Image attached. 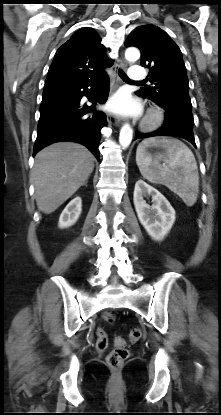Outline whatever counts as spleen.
Masks as SVG:
<instances>
[{
    "mask_svg": "<svg viewBox=\"0 0 221 415\" xmlns=\"http://www.w3.org/2000/svg\"><path fill=\"white\" fill-rule=\"evenodd\" d=\"M148 147L162 148L164 153H157L152 158L146 152ZM136 163L145 179L153 184L165 185L187 206L197 201L198 167L194 154L183 142L167 137L145 139L137 147Z\"/></svg>",
    "mask_w": 221,
    "mask_h": 415,
    "instance_id": "1",
    "label": "spleen"
}]
</instances>
